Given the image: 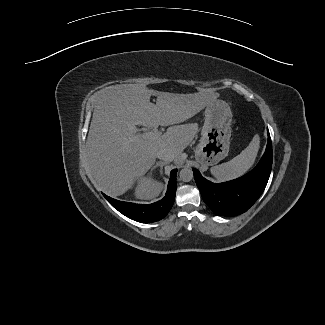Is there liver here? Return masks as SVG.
Instances as JSON below:
<instances>
[{"instance_id":"liver-1","label":"liver","mask_w":325,"mask_h":325,"mask_svg":"<svg viewBox=\"0 0 325 325\" xmlns=\"http://www.w3.org/2000/svg\"><path fill=\"white\" fill-rule=\"evenodd\" d=\"M156 96V104L150 102ZM220 96L202 91L175 94L148 89L142 84H121L94 95L95 108L86 141L90 177L108 195L119 196L132 188L155 163L161 149L171 151L175 164H182L183 150L194 139L198 125L182 123ZM145 127L169 126L157 139L137 132Z\"/></svg>"}]
</instances>
